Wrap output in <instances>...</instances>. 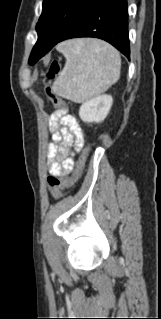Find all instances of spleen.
<instances>
[{
	"instance_id": "spleen-1",
	"label": "spleen",
	"mask_w": 161,
	"mask_h": 319,
	"mask_svg": "<svg viewBox=\"0 0 161 319\" xmlns=\"http://www.w3.org/2000/svg\"><path fill=\"white\" fill-rule=\"evenodd\" d=\"M66 63L52 86L55 94L75 103L107 91L119 80L121 58L108 43L97 39H74L58 45Z\"/></svg>"
}]
</instances>
